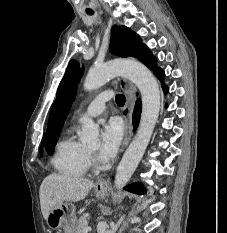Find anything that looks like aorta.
Masks as SVG:
<instances>
[{"label":"aorta","instance_id":"762f6f07","mask_svg":"<svg viewBox=\"0 0 227 233\" xmlns=\"http://www.w3.org/2000/svg\"><path fill=\"white\" fill-rule=\"evenodd\" d=\"M116 76H124L139 89L142 112L138 130L117 167L114 186L121 190L136 170L152 136L160 111V90L156 78L143 64L132 60H115L91 69L84 81L86 91L95 90ZM80 140L88 147L99 144V127L88 117L81 118Z\"/></svg>","mask_w":227,"mask_h":233}]
</instances>
